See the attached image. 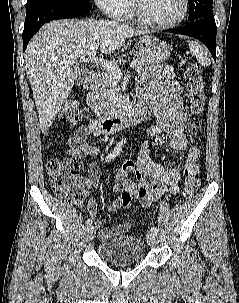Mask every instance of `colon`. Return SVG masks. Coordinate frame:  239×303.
I'll return each mask as SVG.
<instances>
[{"label": "colon", "mask_w": 239, "mask_h": 303, "mask_svg": "<svg viewBox=\"0 0 239 303\" xmlns=\"http://www.w3.org/2000/svg\"><path fill=\"white\" fill-rule=\"evenodd\" d=\"M189 110L193 119L190 122V132L196 134L200 130L197 117L202 113L206 101L205 82L200 66L196 62H189L184 72ZM80 120L78 104L74 99L68 100L59 116V121L66 124H76ZM199 157V149L192 146L187 155L183 168L184 187L182 197L189 199L200 185V169L196 163ZM46 172L50 179L51 189L58 197L74 203L84 200V191L80 180L82 163L76 157L52 158L46 162ZM121 205L128 208L131 205L132 196L124 191L120 196Z\"/></svg>", "instance_id": "colon-1"}]
</instances>
